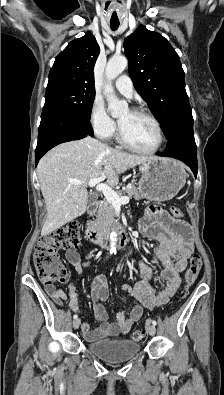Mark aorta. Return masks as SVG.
I'll return each instance as SVG.
<instances>
[{"mask_svg":"<svg viewBox=\"0 0 224 395\" xmlns=\"http://www.w3.org/2000/svg\"><path fill=\"white\" fill-rule=\"evenodd\" d=\"M128 60L124 56L112 57L106 66L105 76L107 85L104 92L108 101V109L113 117H117L122 113L127 112L128 104L126 101H120L114 93L112 81L118 77L127 67ZM117 247V233L115 231L110 234V251H116Z\"/></svg>","mask_w":224,"mask_h":395,"instance_id":"obj_1","label":"aorta"}]
</instances>
